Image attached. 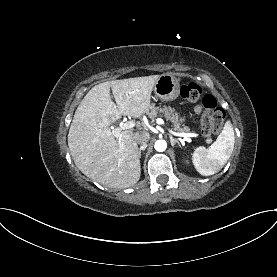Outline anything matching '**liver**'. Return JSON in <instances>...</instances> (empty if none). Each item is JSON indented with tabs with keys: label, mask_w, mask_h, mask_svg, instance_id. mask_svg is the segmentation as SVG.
I'll return each instance as SVG.
<instances>
[{
	"label": "liver",
	"mask_w": 277,
	"mask_h": 277,
	"mask_svg": "<svg viewBox=\"0 0 277 277\" xmlns=\"http://www.w3.org/2000/svg\"><path fill=\"white\" fill-rule=\"evenodd\" d=\"M159 75L113 80L94 86L80 102L68 133L70 154L90 179L111 188H129L140 179L139 148L132 130L116 138L109 126L121 116L141 117L150 109ZM110 90L116 104L110 97Z\"/></svg>",
	"instance_id": "6515ba94"
}]
</instances>
